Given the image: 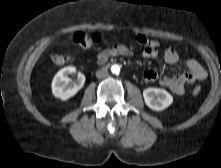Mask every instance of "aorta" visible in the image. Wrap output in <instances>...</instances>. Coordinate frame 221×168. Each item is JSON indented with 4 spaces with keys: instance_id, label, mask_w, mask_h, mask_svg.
Segmentation results:
<instances>
[{
    "instance_id": "obj_1",
    "label": "aorta",
    "mask_w": 221,
    "mask_h": 168,
    "mask_svg": "<svg viewBox=\"0 0 221 168\" xmlns=\"http://www.w3.org/2000/svg\"><path fill=\"white\" fill-rule=\"evenodd\" d=\"M111 72H112L113 74L118 75V74L120 73V66L117 65V64L112 65V66H111Z\"/></svg>"
}]
</instances>
